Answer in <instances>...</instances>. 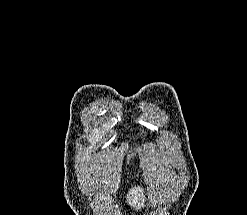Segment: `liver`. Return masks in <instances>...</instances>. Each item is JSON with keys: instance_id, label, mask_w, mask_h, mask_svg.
Returning a JSON list of instances; mask_svg holds the SVG:
<instances>
[{"instance_id": "liver-1", "label": "liver", "mask_w": 247, "mask_h": 215, "mask_svg": "<svg viewBox=\"0 0 247 215\" xmlns=\"http://www.w3.org/2000/svg\"><path fill=\"white\" fill-rule=\"evenodd\" d=\"M143 192L141 188H135L130 190L129 194H128V199L130 200L129 204L131 205H135L136 203H138L140 200H142L143 198ZM144 201V200H142Z\"/></svg>"}]
</instances>
